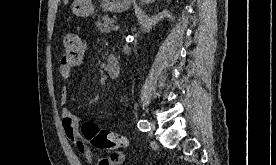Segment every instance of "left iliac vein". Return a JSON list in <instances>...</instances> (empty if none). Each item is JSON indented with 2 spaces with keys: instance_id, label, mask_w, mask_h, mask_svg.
Returning <instances> with one entry per match:
<instances>
[{
  "instance_id": "left-iliac-vein-1",
  "label": "left iliac vein",
  "mask_w": 276,
  "mask_h": 165,
  "mask_svg": "<svg viewBox=\"0 0 276 165\" xmlns=\"http://www.w3.org/2000/svg\"><path fill=\"white\" fill-rule=\"evenodd\" d=\"M155 122H151L150 124V130H149V135H152L153 131L155 130Z\"/></svg>"
}]
</instances>
